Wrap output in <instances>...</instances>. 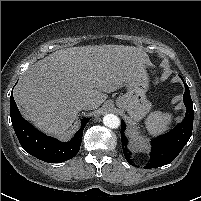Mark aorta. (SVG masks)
I'll return each mask as SVG.
<instances>
[{
    "mask_svg": "<svg viewBox=\"0 0 201 201\" xmlns=\"http://www.w3.org/2000/svg\"><path fill=\"white\" fill-rule=\"evenodd\" d=\"M103 123L106 127L115 129L120 125V119L114 114H106L103 117Z\"/></svg>",
    "mask_w": 201,
    "mask_h": 201,
    "instance_id": "obj_1",
    "label": "aorta"
}]
</instances>
